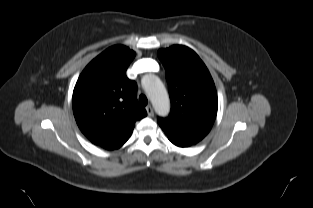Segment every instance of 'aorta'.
<instances>
[{
    "label": "aorta",
    "instance_id": "aorta-1",
    "mask_svg": "<svg viewBox=\"0 0 313 208\" xmlns=\"http://www.w3.org/2000/svg\"><path fill=\"white\" fill-rule=\"evenodd\" d=\"M142 85L147 92L155 112L159 116H166L170 111V100L167 90L161 80L152 74L145 75Z\"/></svg>",
    "mask_w": 313,
    "mask_h": 208
}]
</instances>
